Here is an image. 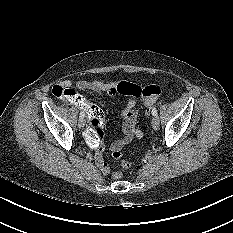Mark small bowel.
Wrapping results in <instances>:
<instances>
[{
  "label": "small bowel",
  "instance_id": "obj_1",
  "mask_svg": "<svg viewBox=\"0 0 233 233\" xmlns=\"http://www.w3.org/2000/svg\"><path fill=\"white\" fill-rule=\"evenodd\" d=\"M58 86L63 88H71L72 83L68 80H65L59 83ZM76 87L80 91L89 94H121L128 97L127 103L121 112L123 118V135L111 144L112 153L116 151H121L122 148L129 144L134 138L142 137L143 132L137 124L136 107L139 101H142L147 107L151 104L156 103L157 96H147L144 93V89L149 86H143L141 84L132 83L129 81H118L115 78H105L93 79L90 81L79 80L76 83ZM103 151L104 145L101 143L96 150L95 161L100 171L104 175H108L110 173V167L103 158Z\"/></svg>",
  "mask_w": 233,
  "mask_h": 233
}]
</instances>
